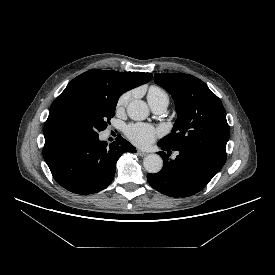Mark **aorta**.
I'll return each instance as SVG.
<instances>
[{"instance_id":"obj_1","label":"aorta","mask_w":275,"mask_h":275,"mask_svg":"<svg viewBox=\"0 0 275 275\" xmlns=\"http://www.w3.org/2000/svg\"><path fill=\"white\" fill-rule=\"evenodd\" d=\"M128 116L135 121H141L148 117L149 108L142 100H133L127 106ZM144 168L149 173H158L163 167V160L158 154H149L143 160Z\"/></svg>"}]
</instances>
